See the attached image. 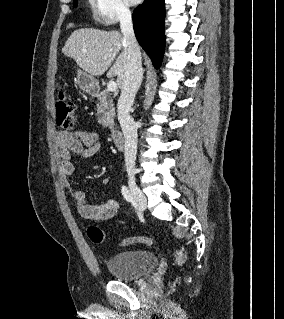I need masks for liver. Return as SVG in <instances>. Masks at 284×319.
Listing matches in <instances>:
<instances>
[{"instance_id":"liver-1","label":"liver","mask_w":284,"mask_h":319,"mask_svg":"<svg viewBox=\"0 0 284 319\" xmlns=\"http://www.w3.org/2000/svg\"><path fill=\"white\" fill-rule=\"evenodd\" d=\"M62 53L74 59L91 76H101L110 68L107 77L117 76V85L122 87L128 52L120 32L93 28L75 30L67 39Z\"/></svg>"}]
</instances>
